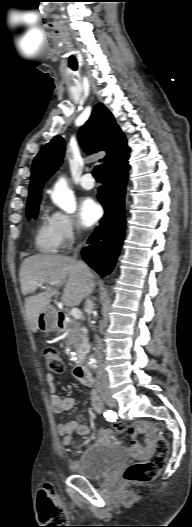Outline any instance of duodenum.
Here are the masks:
<instances>
[{
  "instance_id": "1",
  "label": "duodenum",
  "mask_w": 192,
  "mask_h": 527,
  "mask_svg": "<svg viewBox=\"0 0 192 527\" xmlns=\"http://www.w3.org/2000/svg\"><path fill=\"white\" fill-rule=\"evenodd\" d=\"M57 322H58V326L60 328L64 327L65 316H64L63 313L59 312L57 314ZM74 375L76 376V378L79 381H81L83 384H85L87 386H92L94 384V379H93V377L91 376V374L89 373V371L87 370V368H86V366L84 364H78L75 367Z\"/></svg>"
}]
</instances>
